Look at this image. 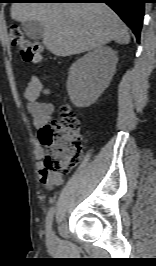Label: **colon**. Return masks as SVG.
<instances>
[{"label": "colon", "mask_w": 156, "mask_h": 266, "mask_svg": "<svg viewBox=\"0 0 156 266\" xmlns=\"http://www.w3.org/2000/svg\"><path fill=\"white\" fill-rule=\"evenodd\" d=\"M9 39L24 61L35 64L43 61L41 45L27 39L18 26H10ZM80 131V121L67 105L61 107L58 120L40 130V141L46 147L44 168L48 173L64 175L78 164L83 149Z\"/></svg>", "instance_id": "colon-1"}]
</instances>
